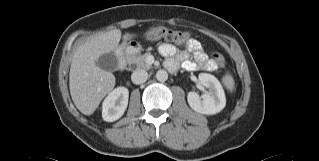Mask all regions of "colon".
<instances>
[{"instance_id":"colon-1","label":"colon","mask_w":319,"mask_h":161,"mask_svg":"<svg viewBox=\"0 0 319 161\" xmlns=\"http://www.w3.org/2000/svg\"><path fill=\"white\" fill-rule=\"evenodd\" d=\"M147 37L149 40L166 39L177 44H182L187 40L188 34L174 29L154 28L148 33ZM224 65L223 57L219 53H213L211 68H223Z\"/></svg>"}]
</instances>
